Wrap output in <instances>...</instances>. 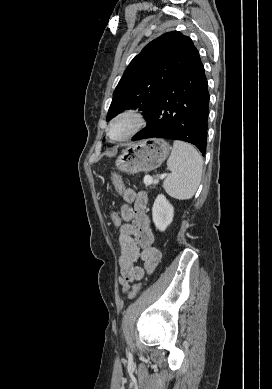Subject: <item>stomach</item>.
<instances>
[{
	"instance_id": "0dacf381",
	"label": "stomach",
	"mask_w": 272,
	"mask_h": 389,
	"mask_svg": "<svg viewBox=\"0 0 272 389\" xmlns=\"http://www.w3.org/2000/svg\"><path fill=\"white\" fill-rule=\"evenodd\" d=\"M170 149L169 144L163 139H146L123 150L116 160V167L129 174L149 172L163 163Z\"/></svg>"
}]
</instances>
